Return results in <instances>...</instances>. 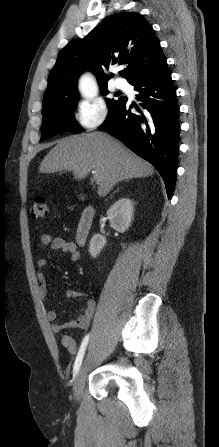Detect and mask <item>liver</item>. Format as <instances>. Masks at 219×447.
Masks as SVG:
<instances>
[{
	"label": "liver",
	"mask_w": 219,
	"mask_h": 447,
	"mask_svg": "<svg viewBox=\"0 0 219 447\" xmlns=\"http://www.w3.org/2000/svg\"><path fill=\"white\" fill-rule=\"evenodd\" d=\"M72 171L76 180L95 171L98 195L106 196L122 180L151 176L154 169L122 143L103 132L84 133L58 140L40 164L41 173Z\"/></svg>",
	"instance_id": "liver-1"
}]
</instances>
